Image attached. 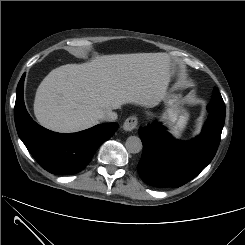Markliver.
<instances>
[{"instance_id":"6515ba94","label":"liver","mask_w":245,"mask_h":245,"mask_svg":"<svg viewBox=\"0 0 245 245\" xmlns=\"http://www.w3.org/2000/svg\"><path fill=\"white\" fill-rule=\"evenodd\" d=\"M169 77L166 53L96 55L53 69L38 86L34 115L50 130L78 132L124 104L156 105L166 94Z\"/></svg>"}]
</instances>
